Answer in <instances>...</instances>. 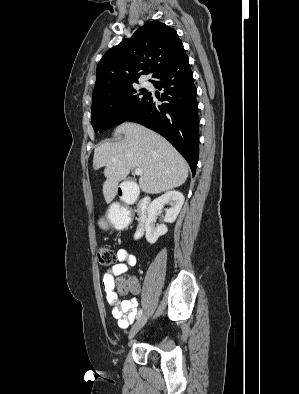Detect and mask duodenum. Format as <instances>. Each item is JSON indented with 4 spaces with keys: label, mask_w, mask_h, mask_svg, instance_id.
I'll use <instances>...</instances> for the list:
<instances>
[{
    "label": "duodenum",
    "mask_w": 299,
    "mask_h": 394,
    "mask_svg": "<svg viewBox=\"0 0 299 394\" xmlns=\"http://www.w3.org/2000/svg\"><path fill=\"white\" fill-rule=\"evenodd\" d=\"M117 191L119 196L122 198L123 202L127 205L132 204L136 200H138L137 204V217H138V226L135 232L137 238L141 237L144 233L145 229V221L147 217V209L150 204L149 197H142L140 199L137 198L133 190L129 185L120 184L117 186Z\"/></svg>",
    "instance_id": "obj_1"
}]
</instances>
